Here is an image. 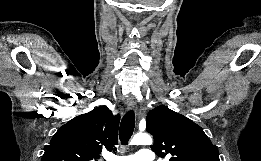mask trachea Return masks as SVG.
I'll list each match as a JSON object with an SVG mask.
<instances>
[{
  "label": "trachea",
  "instance_id": "3493384b",
  "mask_svg": "<svg viewBox=\"0 0 261 161\" xmlns=\"http://www.w3.org/2000/svg\"><path fill=\"white\" fill-rule=\"evenodd\" d=\"M135 126V115L134 111H128L122 118L120 124V141L122 145H127L130 140Z\"/></svg>",
  "mask_w": 261,
  "mask_h": 161
}]
</instances>
